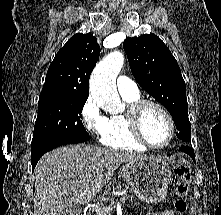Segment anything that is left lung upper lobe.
Returning <instances> with one entry per match:
<instances>
[{"instance_id": "1", "label": "left lung upper lobe", "mask_w": 221, "mask_h": 215, "mask_svg": "<svg viewBox=\"0 0 221 215\" xmlns=\"http://www.w3.org/2000/svg\"><path fill=\"white\" fill-rule=\"evenodd\" d=\"M123 46L136 81L170 112L179 131L177 137L189 142L185 82L170 50L155 34L127 38Z\"/></svg>"}]
</instances>
